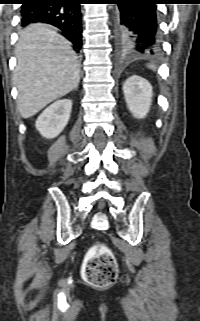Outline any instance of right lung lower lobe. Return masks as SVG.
Instances as JSON below:
<instances>
[{"instance_id":"right-lung-lower-lobe-1","label":"right lung lower lobe","mask_w":200,"mask_h":321,"mask_svg":"<svg viewBox=\"0 0 200 321\" xmlns=\"http://www.w3.org/2000/svg\"><path fill=\"white\" fill-rule=\"evenodd\" d=\"M82 0H23L21 26L47 23L59 28L79 52L82 44L80 4Z\"/></svg>"}]
</instances>
